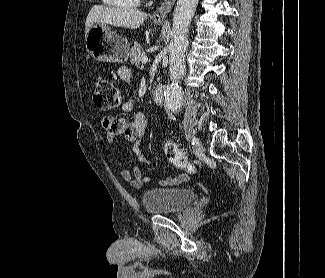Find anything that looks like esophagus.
<instances>
[{"instance_id": "34e87169", "label": "esophagus", "mask_w": 325, "mask_h": 278, "mask_svg": "<svg viewBox=\"0 0 325 278\" xmlns=\"http://www.w3.org/2000/svg\"><path fill=\"white\" fill-rule=\"evenodd\" d=\"M176 0H164L161 6L153 14L154 21H163L171 11Z\"/></svg>"}]
</instances>
